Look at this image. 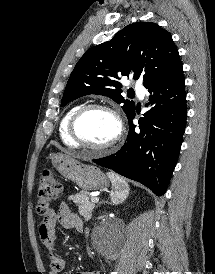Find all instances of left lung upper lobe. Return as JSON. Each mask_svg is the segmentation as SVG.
<instances>
[{
	"label": "left lung upper lobe",
	"instance_id": "1",
	"mask_svg": "<svg viewBox=\"0 0 215 274\" xmlns=\"http://www.w3.org/2000/svg\"><path fill=\"white\" fill-rule=\"evenodd\" d=\"M181 66L171 34L158 24L138 22L110 41L90 48L77 62L67 82L61 106L89 94L112 98L129 117L135 103L121 95L122 76L142 78L144 86L160 82Z\"/></svg>",
	"mask_w": 215,
	"mask_h": 274
}]
</instances>
